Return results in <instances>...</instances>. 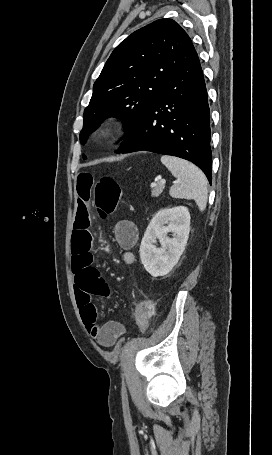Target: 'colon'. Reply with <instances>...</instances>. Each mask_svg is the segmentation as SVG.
<instances>
[{
	"label": "colon",
	"instance_id": "obj_1",
	"mask_svg": "<svg viewBox=\"0 0 272 455\" xmlns=\"http://www.w3.org/2000/svg\"><path fill=\"white\" fill-rule=\"evenodd\" d=\"M121 196V188L113 178L102 177L96 181L93 199L95 208L102 218H106L115 212ZM153 314L154 307L150 301L141 300L136 304L135 320L142 333L147 331Z\"/></svg>",
	"mask_w": 272,
	"mask_h": 455
}]
</instances>
